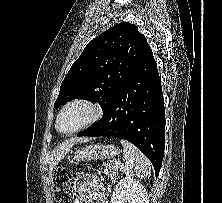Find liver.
<instances>
[{
    "instance_id": "1",
    "label": "liver",
    "mask_w": 222,
    "mask_h": 203,
    "mask_svg": "<svg viewBox=\"0 0 222 203\" xmlns=\"http://www.w3.org/2000/svg\"><path fill=\"white\" fill-rule=\"evenodd\" d=\"M88 138H73L63 142L60 146H58L51 154V161L49 163V172L52 174L53 169L61 160L66 156V154L70 151V149L78 142H87Z\"/></svg>"
}]
</instances>
